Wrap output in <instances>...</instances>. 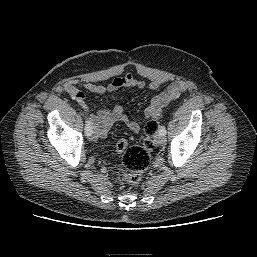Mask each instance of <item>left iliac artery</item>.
Wrapping results in <instances>:
<instances>
[{
	"instance_id": "left-iliac-artery-1",
	"label": "left iliac artery",
	"mask_w": 257,
	"mask_h": 257,
	"mask_svg": "<svg viewBox=\"0 0 257 257\" xmlns=\"http://www.w3.org/2000/svg\"><path fill=\"white\" fill-rule=\"evenodd\" d=\"M159 132L163 135H166V128L164 126L159 127Z\"/></svg>"
}]
</instances>
